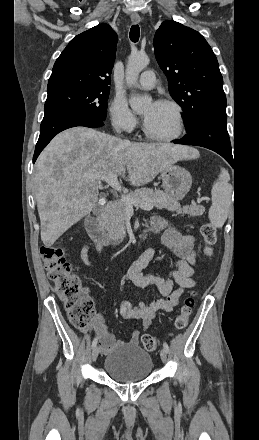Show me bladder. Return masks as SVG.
Masks as SVG:
<instances>
[{
    "label": "bladder",
    "mask_w": 259,
    "mask_h": 440,
    "mask_svg": "<svg viewBox=\"0 0 259 440\" xmlns=\"http://www.w3.org/2000/svg\"><path fill=\"white\" fill-rule=\"evenodd\" d=\"M153 368L151 355L137 345H120L104 360L108 376L120 383H135L146 379Z\"/></svg>",
    "instance_id": "bladder-1"
}]
</instances>
